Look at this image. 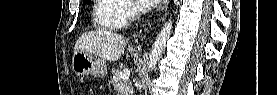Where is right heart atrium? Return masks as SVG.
<instances>
[{"label": "right heart atrium", "instance_id": "right-heart-atrium-1", "mask_svg": "<svg viewBox=\"0 0 277 95\" xmlns=\"http://www.w3.org/2000/svg\"><path fill=\"white\" fill-rule=\"evenodd\" d=\"M135 14H136V9L132 5H128L124 7L123 16L125 17V19L130 20L135 16Z\"/></svg>", "mask_w": 277, "mask_h": 95}]
</instances>
